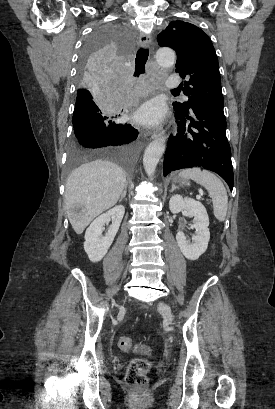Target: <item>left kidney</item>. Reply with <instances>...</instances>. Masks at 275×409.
I'll return each mask as SVG.
<instances>
[{
	"mask_svg": "<svg viewBox=\"0 0 275 409\" xmlns=\"http://www.w3.org/2000/svg\"><path fill=\"white\" fill-rule=\"evenodd\" d=\"M169 209L171 213H180L182 209H185L189 217H194V225L192 227L196 229V235L192 237L193 243L187 241L184 233H181V231L177 233L176 241L184 257L190 259V261H196L200 255L205 253L210 239L208 229L209 219L204 205L199 200H194V198H188V196L183 198L180 194H174L169 200Z\"/></svg>",
	"mask_w": 275,
	"mask_h": 409,
	"instance_id": "obj_1",
	"label": "left kidney"
}]
</instances>
